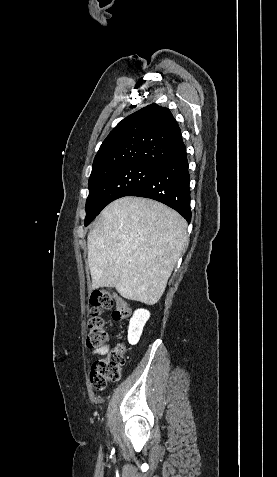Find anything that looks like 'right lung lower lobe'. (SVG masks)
<instances>
[{"label":"right lung lower lobe","mask_w":277,"mask_h":477,"mask_svg":"<svg viewBox=\"0 0 277 477\" xmlns=\"http://www.w3.org/2000/svg\"><path fill=\"white\" fill-rule=\"evenodd\" d=\"M185 148L161 162L140 186L127 196L157 200L175 209L190 223V175Z\"/></svg>","instance_id":"right-lung-lower-lobe-1"}]
</instances>
